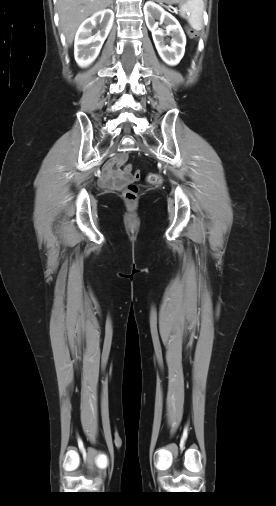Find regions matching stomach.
Returning <instances> with one entry per match:
<instances>
[{
    "label": "stomach",
    "mask_w": 276,
    "mask_h": 506,
    "mask_svg": "<svg viewBox=\"0 0 276 506\" xmlns=\"http://www.w3.org/2000/svg\"><path fill=\"white\" fill-rule=\"evenodd\" d=\"M159 3H166V4H174L178 2H182V0H156Z\"/></svg>",
    "instance_id": "obj_1"
}]
</instances>
